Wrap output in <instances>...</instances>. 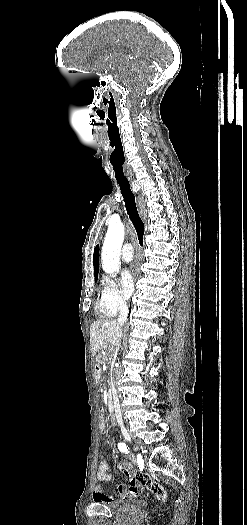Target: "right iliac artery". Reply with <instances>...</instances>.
Instances as JSON below:
<instances>
[{"mask_svg": "<svg viewBox=\"0 0 247 525\" xmlns=\"http://www.w3.org/2000/svg\"><path fill=\"white\" fill-rule=\"evenodd\" d=\"M118 449L121 452H124V453H128L129 452V448L127 447V445L125 443H118Z\"/></svg>", "mask_w": 247, "mask_h": 525, "instance_id": "right-iliac-artery-1", "label": "right iliac artery"}]
</instances>
